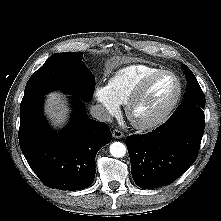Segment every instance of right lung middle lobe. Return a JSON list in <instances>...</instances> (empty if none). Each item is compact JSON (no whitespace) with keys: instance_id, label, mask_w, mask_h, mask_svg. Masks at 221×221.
<instances>
[{"instance_id":"right-lung-middle-lobe-1","label":"right lung middle lobe","mask_w":221,"mask_h":221,"mask_svg":"<svg viewBox=\"0 0 221 221\" xmlns=\"http://www.w3.org/2000/svg\"><path fill=\"white\" fill-rule=\"evenodd\" d=\"M83 54L63 52L51 55L28 80L20 111L54 89H61L83 100H89L95 88V78L83 66Z\"/></svg>"}]
</instances>
